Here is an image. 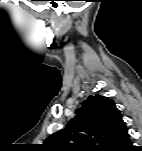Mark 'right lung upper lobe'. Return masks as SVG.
<instances>
[{
  "mask_svg": "<svg viewBox=\"0 0 142 151\" xmlns=\"http://www.w3.org/2000/svg\"><path fill=\"white\" fill-rule=\"evenodd\" d=\"M65 129L44 141L50 151H116L129 140L127 126L112 99L90 95Z\"/></svg>",
  "mask_w": 142,
  "mask_h": 151,
  "instance_id": "obj_1",
  "label": "right lung upper lobe"
}]
</instances>
